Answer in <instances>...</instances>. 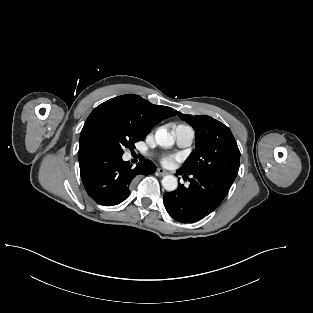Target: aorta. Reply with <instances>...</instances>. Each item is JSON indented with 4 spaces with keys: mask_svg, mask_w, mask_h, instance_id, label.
<instances>
[{
    "mask_svg": "<svg viewBox=\"0 0 313 313\" xmlns=\"http://www.w3.org/2000/svg\"><path fill=\"white\" fill-rule=\"evenodd\" d=\"M156 143L164 148L174 145V137L164 128H159L155 133ZM162 186L167 191H174L178 186L177 178L173 175H167L162 179Z\"/></svg>",
    "mask_w": 313,
    "mask_h": 313,
    "instance_id": "aorta-1",
    "label": "aorta"
}]
</instances>
